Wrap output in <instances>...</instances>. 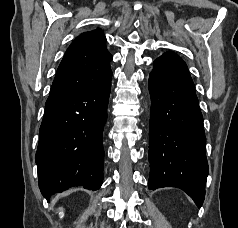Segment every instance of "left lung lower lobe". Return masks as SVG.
Here are the masks:
<instances>
[{"label": "left lung lower lobe", "instance_id": "left-lung-lower-lobe-1", "mask_svg": "<svg viewBox=\"0 0 238 228\" xmlns=\"http://www.w3.org/2000/svg\"><path fill=\"white\" fill-rule=\"evenodd\" d=\"M150 177L148 188L177 187L200 208L205 197L208 163L203 117L185 62L166 52L149 75Z\"/></svg>", "mask_w": 238, "mask_h": 228}]
</instances>
